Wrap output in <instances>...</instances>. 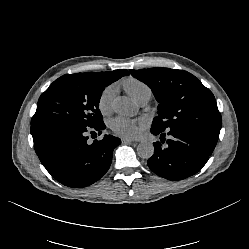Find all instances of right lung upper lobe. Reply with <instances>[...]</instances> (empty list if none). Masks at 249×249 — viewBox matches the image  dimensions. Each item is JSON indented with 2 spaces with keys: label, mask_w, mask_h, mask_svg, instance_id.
<instances>
[{
  "label": "right lung upper lobe",
  "mask_w": 249,
  "mask_h": 249,
  "mask_svg": "<svg viewBox=\"0 0 249 249\" xmlns=\"http://www.w3.org/2000/svg\"><path fill=\"white\" fill-rule=\"evenodd\" d=\"M126 75H129V72H128L127 70H123V69H122V77H123V76H126Z\"/></svg>",
  "instance_id": "cb5924a9"
}]
</instances>
